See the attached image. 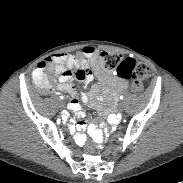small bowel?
<instances>
[{"label": "small bowel", "instance_id": "small-bowel-1", "mask_svg": "<svg viewBox=\"0 0 183 183\" xmlns=\"http://www.w3.org/2000/svg\"><path fill=\"white\" fill-rule=\"evenodd\" d=\"M81 54L83 56L81 61L76 60L73 55L65 53L54 54L47 59L54 75L58 78L57 88L71 95L68 109L75 112L79 117L83 116L82 104L94 106L101 110L103 115H107L113 108L116 95L125 91L128 88V83L126 80L110 76L101 70L98 50L93 46L84 47ZM94 75L98 77L99 82L93 86L92 91L90 93H78L73 80L76 78L81 86L85 88L92 82ZM102 90L110 95L106 109L101 108L98 102V95ZM57 117L61 124L67 127V134L74 135L76 143L82 145L86 140L84 134L86 129H88L92 141L96 144L103 143L105 139H111L113 133L117 130L116 125L122 120L123 115L121 112L116 111L109 119L110 124L91 123L88 126L82 121L77 124L76 119L65 110L59 111Z\"/></svg>", "mask_w": 183, "mask_h": 183}]
</instances>
